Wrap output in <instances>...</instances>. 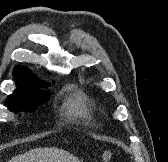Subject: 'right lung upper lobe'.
Masks as SVG:
<instances>
[{"label": "right lung upper lobe", "mask_w": 168, "mask_h": 162, "mask_svg": "<svg viewBox=\"0 0 168 162\" xmlns=\"http://www.w3.org/2000/svg\"><path fill=\"white\" fill-rule=\"evenodd\" d=\"M13 75H14L15 81L18 85L17 90H19L20 88L25 87V86L36 85L34 82L35 76L32 73H30L29 69H27L25 67H23V68L15 67ZM38 85H44V83L39 82Z\"/></svg>", "instance_id": "1"}]
</instances>
